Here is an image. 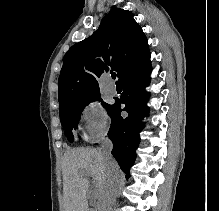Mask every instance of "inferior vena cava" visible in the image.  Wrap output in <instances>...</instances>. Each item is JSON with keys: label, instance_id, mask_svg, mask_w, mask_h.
<instances>
[{"label": "inferior vena cava", "instance_id": "obj_1", "mask_svg": "<svg viewBox=\"0 0 219 211\" xmlns=\"http://www.w3.org/2000/svg\"><path fill=\"white\" fill-rule=\"evenodd\" d=\"M113 149V143L110 141V139H103L102 141V155L103 159L105 161L104 171H108V175H110V178L108 179V182L106 184V192L110 193L109 197L106 198L107 202L103 203L104 207L108 208H100L99 211H110L111 207L114 206L115 198L118 197V192L121 187V184L123 182V179L125 178L124 174H121V170H117L116 161L113 159L111 155V151Z\"/></svg>", "mask_w": 219, "mask_h": 211}]
</instances>
